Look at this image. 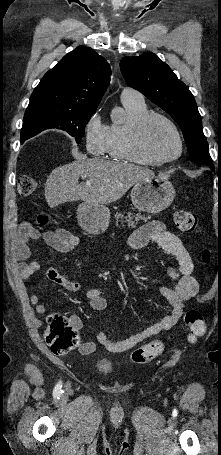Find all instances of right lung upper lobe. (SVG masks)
I'll return each mask as SVG.
<instances>
[{"instance_id":"cb5924a9","label":"right lung upper lobe","mask_w":221,"mask_h":455,"mask_svg":"<svg viewBox=\"0 0 221 455\" xmlns=\"http://www.w3.org/2000/svg\"><path fill=\"white\" fill-rule=\"evenodd\" d=\"M110 76V66L102 56L90 47H77L44 75L28 106L96 110Z\"/></svg>"}]
</instances>
